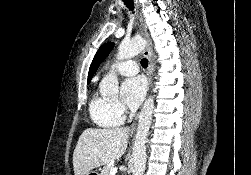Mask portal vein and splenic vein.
<instances>
[{
  "label": "portal vein and splenic vein",
  "instance_id": "obj_1",
  "mask_svg": "<svg viewBox=\"0 0 251 175\" xmlns=\"http://www.w3.org/2000/svg\"><path fill=\"white\" fill-rule=\"evenodd\" d=\"M117 169H118V167H112V169L110 171L111 175H115V173H117Z\"/></svg>",
  "mask_w": 251,
  "mask_h": 175
}]
</instances>
